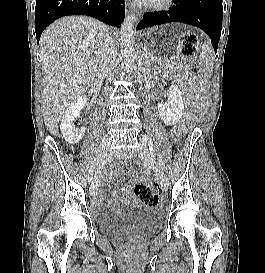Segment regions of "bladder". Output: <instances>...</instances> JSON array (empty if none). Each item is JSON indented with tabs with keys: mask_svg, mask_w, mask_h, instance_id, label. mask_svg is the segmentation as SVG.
Listing matches in <instances>:
<instances>
[{
	"mask_svg": "<svg viewBox=\"0 0 265 273\" xmlns=\"http://www.w3.org/2000/svg\"><path fill=\"white\" fill-rule=\"evenodd\" d=\"M100 231L105 235H116L130 227H142L149 232L161 226V218L153 207H131L123 212H114L97 218Z\"/></svg>",
	"mask_w": 265,
	"mask_h": 273,
	"instance_id": "31cf9c89",
	"label": "bladder"
}]
</instances>
